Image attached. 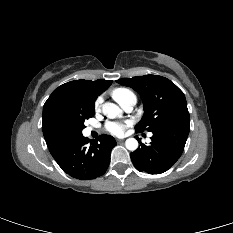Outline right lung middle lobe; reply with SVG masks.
I'll return each mask as SVG.
<instances>
[{
    "instance_id": "obj_1",
    "label": "right lung middle lobe",
    "mask_w": 233,
    "mask_h": 233,
    "mask_svg": "<svg viewBox=\"0 0 233 233\" xmlns=\"http://www.w3.org/2000/svg\"><path fill=\"white\" fill-rule=\"evenodd\" d=\"M94 116V107L78 109L59 119L56 125L58 138L64 142H71L82 136L85 128L84 121Z\"/></svg>"
}]
</instances>
